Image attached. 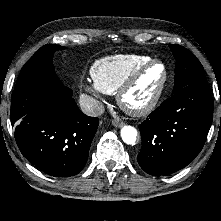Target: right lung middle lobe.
<instances>
[{
  "label": "right lung middle lobe",
  "instance_id": "dd1d6c3e",
  "mask_svg": "<svg viewBox=\"0 0 221 221\" xmlns=\"http://www.w3.org/2000/svg\"><path fill=\"white\" fill-rule=\"evenodd\" d=\"M65 49L59 45H44L23 66L12 93V98L20 93L43 84H61L54 71L53 54Z\"/></svg>",
  "mask_w": 221,
  "mask_h": 221
}]
</instances>
